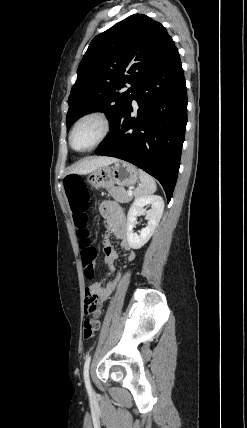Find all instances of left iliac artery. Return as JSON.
<instances>
[{
	"mask_svg": "<svg viewBox=\"0 0 247 428\" xmlns=\"http://www.w3.org/2000/svg\"><path fill=\"white\" fill-rule=\"evenodd\" d=\"M90 361H91V356L89 355L86 357V360L84 363V369H83L84 381H85L86 389L89 393L91 392V385H90V380H89Z\"/></svg>",
	"mask_w": 247,
	"mask_h": 428,
	"instance_id": "obj_1",
	"label": "left iliac artery"
}]
</instances>
